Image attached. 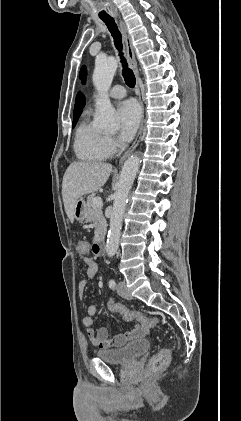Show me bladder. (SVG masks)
Returning a JSON list of instances; mask_svg holds the SVG:
<instances>
[{
	"label": "bladder",
	"instance_id": "obj_1",
	"mask_svg": "<svg viewBox=\"0 0 241 421\" xmlns=\"http://www.w3.org/2000/svg\"><path fill=\"white\" fill-rule=\"evenodd\" d=\"M149 348L148 339H138L118 349L99 350L95 355L109 364L127 365L146 353Z\"/></svg>",
	"mask_w": 241,
	"mask_h": 421
}]
</instances>
